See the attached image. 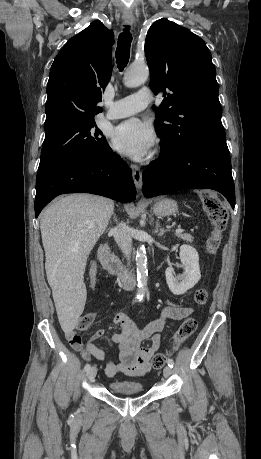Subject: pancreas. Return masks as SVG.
Segmentation results:
<instances>
[{
    "label": "pancreas",
    "mask_w": 261,
    "mask_h": 459,
    "mask_svg": "<svg viewBox=\"0 0 261 459\" xmlns=\"http://www.w3.org/2000/svg\"><path fill=\"white\" fill-rule=\"evenodd\" d=\"M176 236H177L178 238L183 239L184 241H186V242H188V243H192L193 240H194L193 236L190 235V234L176 233Z\"/></svg>",
    "instance_id": "pancreas-1"
}]
</instances>
